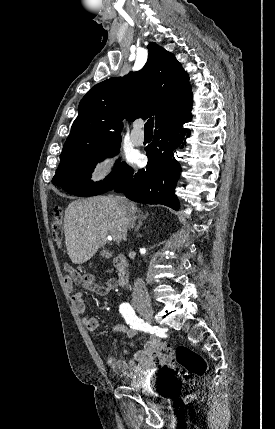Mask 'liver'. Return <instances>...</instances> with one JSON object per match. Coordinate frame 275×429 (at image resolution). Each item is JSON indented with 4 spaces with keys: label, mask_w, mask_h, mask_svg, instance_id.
Returning a JSON list of instances; mask_svg holds the SVG:
<instances>
[{
    "label": "liver",
    "mask_w": 275,
    "mask_h": 429,
    "mask_svg": "<svg viewBox=\"0 0 275 429\" xmlns=\"http://www.w3.org/2000/svg\"><path fill=\"white\" fill-rule=\"evenodd\" d=\"M95 196L75 200L65 210L64 234L68 255L75 264L90 260L107 242L108 234L121 235L126 240L128 226L124 204L134 214L137 206L127 199Z\"/></svg>",
    "instance_id": "6515ba94"
}]
</instances>
